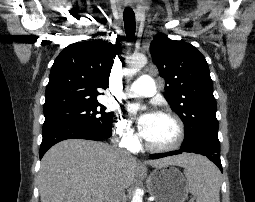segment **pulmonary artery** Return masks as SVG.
I'll use <instances>...</instances> for the list:
<instances>
[{
  "label": "pulmonary artery",
  "mask_w": 255,
  "mask_h": 202,
  "mask_svg": "<svg viewBox=\"0 0 255 202\" xmlns=\"http://www.w3.org/2000/svg\"><path fill=\"white\" fill-rule=\"evenodd\" d=\"M155 92L156 85L154 79L150 75L144 74L127 87L122 96L124 98L148 97L154 95Z\"/></svg>",
  "instance_id": "obj_1"
}]
</instances>
